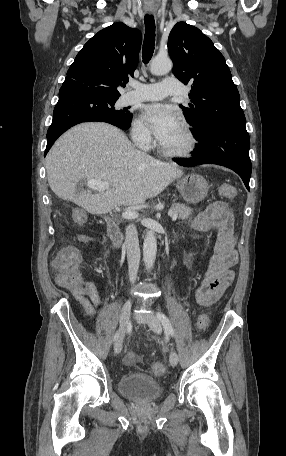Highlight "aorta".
<instances>
[{"label":"aorta","mask_w":286,"mask_h":456,"mask_svg":"<svg viewBox=\"0 0 286 456\" xmlns=\"http://www.w3.org/2000/svg\"><path fill=\"white\" fill-rule=\"evenodd\" d=\"M172 69V61L169 58L155 57L150 65L153 75H164ZM157 253V240L153 231H148L143 243V258L146 269L150 271L154 265Z\"/></svg>","instance_id":"obj_1"}]
</instances>
